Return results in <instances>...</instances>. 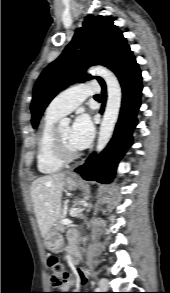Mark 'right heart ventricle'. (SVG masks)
Returning a JSON list of instances; mask_svg holds the SVG:
<instances>
[{
    "instance_id": "e07e8e85",
    "label": "right heart ventricle",
    "mask_w": 170,
    "mask_h": 293,
    "mask_svg": "<svg viewBox=\"0 0 170 293\" xmlns=\"http://www.w3.org/2000/svg\"><path fill=\"white\" fill-rule=\"evenodd\" d=\"M60 117L45 113L37 136L36 162L41 173L49 174L59 171L65 162L58 160L51 149V137L55 124Z\"/></svg>"
}]
</instances>
